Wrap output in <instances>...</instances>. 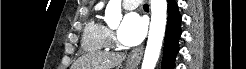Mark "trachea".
Masks as SVG:
<instances>
[{"label":"trachea","instance_id":"1","mask_svg":"<svg viewBox=\"0 0 246 69\" xmlns=\"http://www.w3.org/2000/svg\"><path fill=\"white\" fill-rule=\"evenodd\" d=\"M149 7V5L148 4H144V8H148Z\"/></svg>","mask_w":246,"mask_h":69}]
</instances>
